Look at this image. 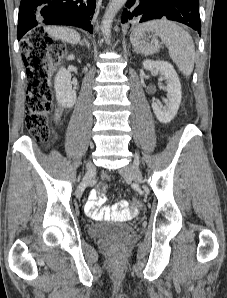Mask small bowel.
Listing matches in <instances>:
<instances>
[{
	"label": "small bowel",
	"mask_w": 227,
	"mask_h": 298,
	"mask_svg": "<svg viewBox=\"0 0 227 298\" xmlns=\"http://www.w3.org/2000/svg\"><path fill=\"white\" fill-rule=\"evenodd\" d=\"M104 191L94 189L90 192L89 199L85 204V213L96 220L107 218H128L133 211L127 209L125 204L105 206L107 198L103 194ZM98 207L102 208L99 210Z\"/></svg>",
	"instance_id": "1"
}]
</instances>
